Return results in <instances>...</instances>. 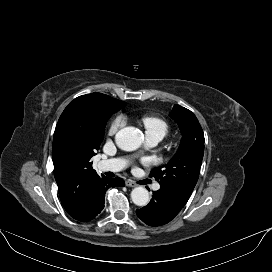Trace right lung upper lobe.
I'll use <instances>...</instances> for the list:
<instances>
[{
    "label": "right lung upper lobe",
    "mask_w": 272,
    "mask_h": 272,
    "mask_svg": "<svg viewBox=\"0 0 272 272\" xmlns=\"http://www.w3.org/2000/svg\"><path fill=\"white\" fill-rule=\"evenodd\" d=\"M125 102L101 93L75 98L61 114L54 133L52 159L59 196L66 211L73 217L81 216L96 196L100 177L92 168L79 143L82 130L91 122L103 105Z\"/></svg>",
    "instance_id": "right-lung-upper-lobe-1"
}]
</instances>
